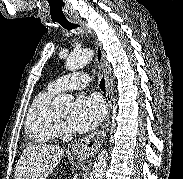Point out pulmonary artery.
<instances>
[{
	"instance_id": "pulmonary-artery-1",
	"label": "pulmonary artery",
	"mask_w": 183,
	"mask_h": 179,
	"mask_svg": "<svg viewBox=\"0 0 183 179\" xmlns=\"http://www.w3.org/2000/svg\"><path fill=\"white\" fill-rule=\"evenodd\" d=\"M90 77L83 72L71 73L51 82L49 88L55 92L83 89L89 85Z\"/></svg>"
}]
</instances>
